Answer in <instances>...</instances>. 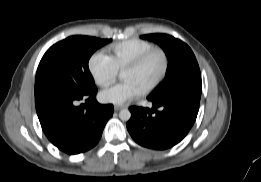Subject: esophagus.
<instances>
[{
    "mask_svg": "<svg viewBox=\"0 0 261 182\" xmlns=\"http://www.w3.org/2000/svg\"><path fill=\"white\" fill-rule=\"evenodd\" d=\"M124 108H125L124 105H121V106H120V105H115V106H114V110H115V111H120V110H122V109H124Z\"/></svg>",
    "mask_w": 261,
    "mask_h": 182,
    "instance_id": "obj_1",
    "label": "esophagus"
}]
</instances>
